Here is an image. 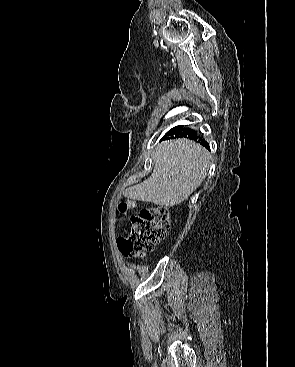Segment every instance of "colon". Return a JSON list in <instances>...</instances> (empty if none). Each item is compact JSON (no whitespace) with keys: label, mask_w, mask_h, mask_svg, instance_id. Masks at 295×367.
Wrapping results in <instances>:
<instances>
[{"label":"colon","mask_w":295,"mask_h":367,"mask_svg":"<svg viewBox=\"0 0 295 367\" xmlns=\"http://www.w3.org/2000/svg\"><path fill=\"white\" fill-rule=\"evenodd\" d=\"M136 203L131 200L119 205L120 212L133 209ZM170 226V215L164 207L141 210L131 217V231L128 237L120 238L118 247L124 256L139 257L153 250L166 236Z\"/></svg>","instance_id":"colon-1"}]
</instances>
